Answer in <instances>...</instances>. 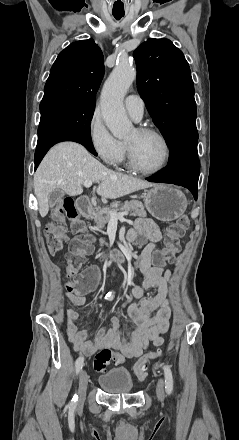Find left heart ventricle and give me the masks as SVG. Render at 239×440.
<instances>
[{
	"label": "left heart ventricle",
	"mask_w": 239,
	"mask_h": 440,
	"mask_svg": "<svg viewBox=\"0 0 239 440\" xmlns=\"http://www.w3.org/2000/svg\"><path fill=\"white\" fill-rule=\"evenodd\" d=\"M126 142L134 150L138 164L147 170H154L161 166L165 158L163 142L153 134H142L135 129Z\"/></svg>",
	"instance_id": "left-heart-ventricle-1"
}]
</instances>
